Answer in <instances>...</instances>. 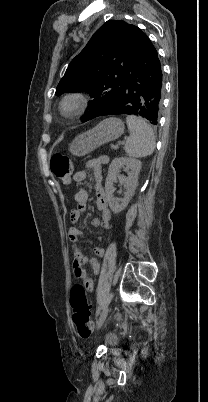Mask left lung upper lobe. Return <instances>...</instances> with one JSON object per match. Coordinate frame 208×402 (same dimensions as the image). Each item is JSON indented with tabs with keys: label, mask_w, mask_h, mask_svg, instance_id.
<instances>
[{
	"label": "left lung upper lobe",
	"mask_w": 208,
	"mask_h": 402,
	"mask_svg": "<svg viewBox=\"0 0 208 402\" xmlns=\"http://www.w3.org/2000/svg\"><path fill=\"white\" fill-rule=\"evenodd\" d=\"M134 25L109 20L92 36L70 62L56 95L67 91L87 92L94 99L82 121H88L116 98L119 87L134 69Z\"/></svg>",
	"instance_id": "1"
}]
</instances>
